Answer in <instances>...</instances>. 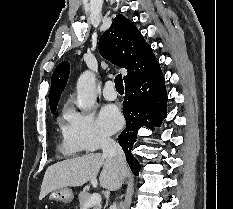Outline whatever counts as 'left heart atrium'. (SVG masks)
I'll list each match as a JSON object with an SVG mask.
<instances>
[{
    "instance_id": "obj_1",
    "label": "left heart atrium",
    "mask_w": 233,
    "mask_h": 209,
    "mask_svg": "<svg viewBox=\"0 0 233 209\" xmlns=\"http://www.w3.org/2000/svg\"><path fill=\"white\" fill-rule=\"evenodd\" d=\"M99 124L107 133L117 131L122 124V117L118 108L114 105H105L99 114Z\"/></svg>"
}]
</instances>
